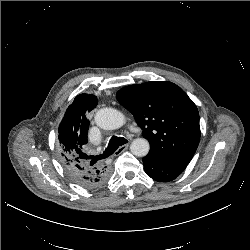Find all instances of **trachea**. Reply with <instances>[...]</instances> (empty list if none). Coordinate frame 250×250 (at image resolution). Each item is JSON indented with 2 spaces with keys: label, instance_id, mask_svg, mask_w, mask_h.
Masks as SVG:
<instances>
[{
  "label": "trachea",
  "instance_id": "trachea-1",
  "mask_svg": "<svg viewBox=\"0 0 250 250\" xmlns=\"http://www.w3.org/2000/svg\"><path fill=\"white\" fill-rule=\"evenodd\" d=\"M127 142L128 141L123 137L112 136L109 141L108 147L105 149L103 154L94 156V158L96 160H99V159H104L106 157H109L119 148V146H122L126 144Z\"/></svg>",
  "mask_w": 250,
  "mask_h": 250
}]
</instances>
